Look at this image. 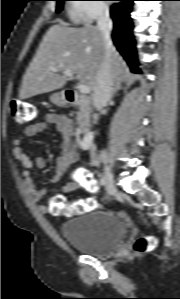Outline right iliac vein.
<instances>
[{
    "mask_svg": "<svg viewBox=\"0 0 180 299\" xmlns=\"http://www.w3.org/2000/svg\"><path fill=\"white\" fill-rule=\"evenodd\" d=\"M104 173H105L104 179L106 181L107 191L110 195H113L117 192V188L114 183V178H113L111 169L107 164H105V166H104Z\"/></svg>",
    "mask_w": 180,
    "mask_h": 299,
    "instance_id": "obj_1",
    "label": "right iliac vein"
}]
</instances>
